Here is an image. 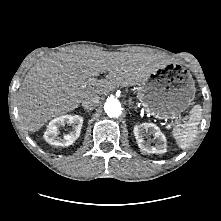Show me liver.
<instances>
[{
	"instance_id": "6515ba94",
	"label": "liver",
	"mask_w": 221,
	"mask_h": 221,
	"mask_svg": "<svg viewBox=\"0 0 221 221\" xmlns=\"http://www.w3.org/2000/svg\"><path fill=\"white\" fill-rule=\"evenodd\" d=\"M159 68L156 57L140 52L67 50L43 57L19 89L20 120L35 132L53 117L76 109L90 95L138 84ZM108 72L106 78L97 79Z\"/></svg>"
}]
</instances>
